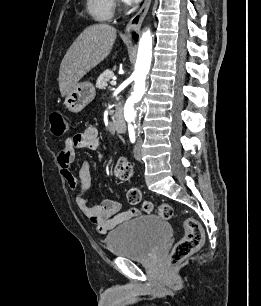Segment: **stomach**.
<instances>
[{
	"label": "stomach",
	"instance_id": "obj_1",
	"mask_svg": "<svg viewBox=\"0 0 261 306\" xmlns=\"http://www.w3.org/2000/svg\"><path fill=\"white\" fill-rule=\"evenodd\" d=\"M95 95V87L91 82H80L66 94L64 104L69 111L78 113L94 99Z\"/></svg>",
	"mask_w": 261,
	"mask_h": 306
}]
</instances>
